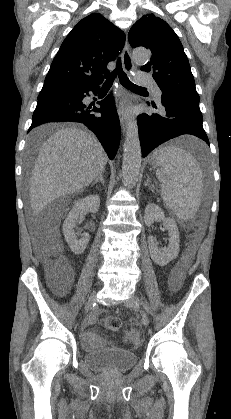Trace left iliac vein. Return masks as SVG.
<instances>
[{"instance_id": "obj_1", "label": "left iliac vein", "mask_w": 231, "mask_h": 419, "mask_svg": "<svg viewBox=\"0 0 231 419\" xmlns=\"http://www.w3.org/2000/svg\"><path fill=\"white\" fill-rule=\"evenodd\" d=\"M139 299L135 296L131 297L130 299H127L126 301H124L125 306L129 307V308H136L135 302H138ZM142 324L144 326H148L150 323L149 317L147 314H143L142 318H141Z\"/></svg>"}]
</instances>
